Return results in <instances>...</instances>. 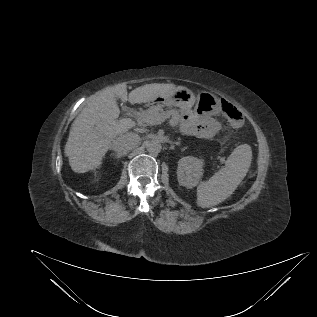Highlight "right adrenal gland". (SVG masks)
Returning <instances> with one entry per match:
<instances>
[{"label":"right adrenal gland","mask_w":317,"mask_h":317,"mask_svg":"<svg viewBox=\"0 0 317 317\" xmlns=\"http://www.w3.org/2000/svg\"><path fill=\"white\" fill-rule=\"evenodd\" d=\"M111 155L115 156V158H121L122 156L117 153H112Z\"/></svg>","instance_id":"obj_1"}]
</instances>
